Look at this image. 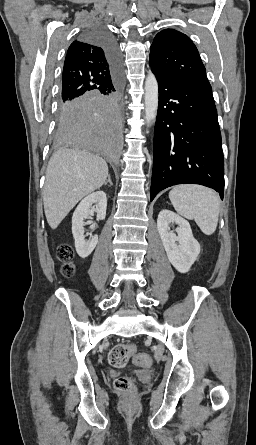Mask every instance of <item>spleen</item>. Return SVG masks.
I'll return each instance as SVG.
<instances>
[{"label": "spleen", "mask_w": 256, "mask_h": 445, "mask_svg": "<svg viewBox=\"0 0 256 445\" xmlns=\"http://www.w3.org/2000/svg\"><path fill=\"white\" fill-rule=\"evenodd\" d=\"M169 199L177 213L195 220L204 234L215 232L220 200L213 190L198 185H179L169 192Z\"/></svg>", "instance_id": "obj_1"}]
</instances>
